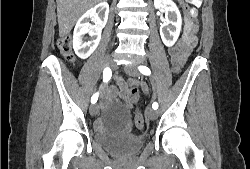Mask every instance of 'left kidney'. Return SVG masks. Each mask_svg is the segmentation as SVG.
I'll return each mask as SVG.
<instances>
[{
    "label": "left kidney",
    "mask_w": 250,
    "mask_h": 169,
    "mask_svg": "<svg viewBox=\"0 0 250 169\" xmlns=\"http://www.w3.org/2000/svg\"><path fill=\"white\" fill-rule=\"evenodd\" d=\"M155 8H163L165 18L160 26L161 38L166 46L175 44L181 30L182 18L173 0H154Z\"/></svg>",
    "instance_id": "obj_1"
}]
</instances>
